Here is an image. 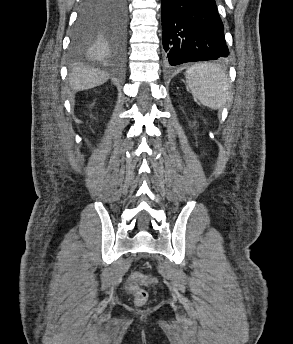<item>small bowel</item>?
Returning a JSON list of instances; mask_svg holds the SVG:
<instances>
[{
    "instance_id": "1",
    "label": "small bowel",
    "mask_w": 293,
    "mask_h": 344,
    "mask_svg": "<svg viewBox=\"0 0 293 344\" xmlns=\"http://www.w3.org/2000/svg\"><path fill=\"white\" fill-rule=\"evenodd\" d=\"M127 288H128V290H129V291H131V289H130L129 285H128V287H127Z\"/></svg>"
}]
</instances>
